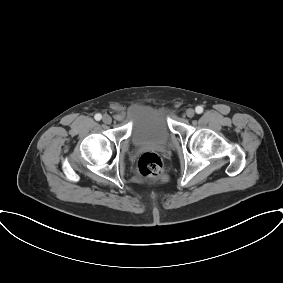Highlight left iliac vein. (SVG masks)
Segmentation results:
<instances>
[{
	"label": "left iliac vein",
	"instance_id": "obj_1",
	"mask_svg": "<svg viewBox=\"0 0 283 283\" xmlns=\"http://www.w3.org/2000/svg\"><path fill=\"white\" fill-rule=\"evenodd\" d=\"M186 115L188 118H192L195 115V111L192 108L186 110Z\"/></svg>",
	"mask_w": 283,
	"mask_h": 283
}]
</instances>
